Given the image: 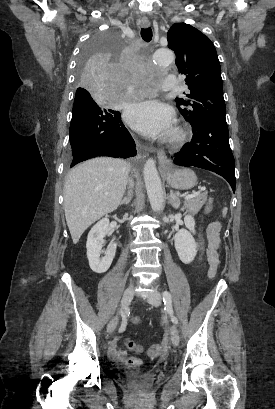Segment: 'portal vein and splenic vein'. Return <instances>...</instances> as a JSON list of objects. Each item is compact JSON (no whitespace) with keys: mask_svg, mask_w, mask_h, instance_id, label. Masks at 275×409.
Instances as JSON below:
<instances>
[{"mask_svg":"<svg viewBox=\"0 0 275 409\" xmlns=\"http://www.w3.org/2000/svg\"><path fill=\"white\" fill-rule=\"evenodd\" d=\"M200 190H205V186H201ZM194 194H199V192H194ZM194 194H187L184 198H193Z\"/></svg>","mask_w":275,"mask_h":409,"instance_id":"obj_1","label":"portal vein and splenic vein"}]
</instances>
